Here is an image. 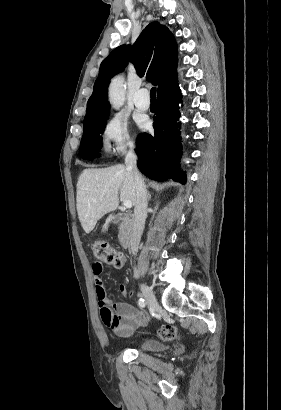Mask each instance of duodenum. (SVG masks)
Listing matches in <instances>:
<instances>
[{
    "label": "duodenum",
    "instance_id": "1",
    "mask_svg": "<svg viewBox=\"0 0 281 410\" xmlns=\"http://www.w3.org/2000/svg\"><path fill=\"white\" fill-rule=\"evenodd\" d=\"M134 220H135L134 215L130 213L118 212L114 215V221L120 222L122 224V228H123L122 245L124 248H127L130 246V242L132 239L131 225L133 224Z\"/></svg>",
    "mask_w": 281,
    "mask_h": 410
}]
</instances>
